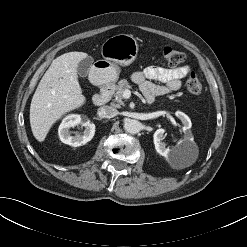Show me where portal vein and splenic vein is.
<instances>
[{"label": "portal vein and splenic vein", "mask_w": 247, "mask_h": 247, "mask_svg": "<svg viewBox=\"0 0 247 247\" xmlns=\"http://www.w3.org/2000/svg\"><path fill=\"white\" fill-rule=\"evenodd\" d=\"M122 96L124 99H129L131 97V91L128 89L124 90Z\"/></svg>", "instance_id": "18ae733b"}]
</instances>
